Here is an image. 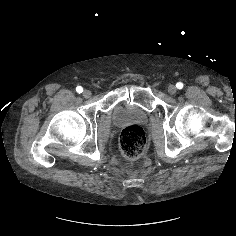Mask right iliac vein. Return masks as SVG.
I'll return each mask as SVG.
<instances>
[{
	"instance_id": "63e3f726",
	"label": "right iliac vein",
	"mask_w": 236,
	"mask_h": 236,
	"mask_svg": "<svg viewBox=\"0 0 236 236\" xmlns=\"http://www.w3.org/2000/svg\"><path fill=\"white\" fill-rule=\"evenodd\" d=\"M84 98H89L91 96V91L90 90H84L82 93Z\"/></svg>"
}]
</instances>
